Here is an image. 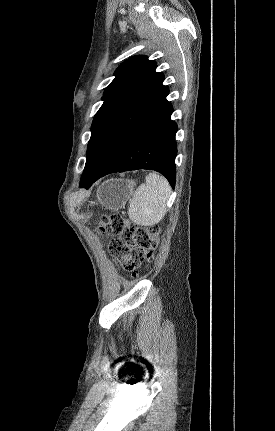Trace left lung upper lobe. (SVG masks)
Wrapping results in <instances>:
<instances>
[{"instance_id": "5c2ea615", "label": "left lung upper lobe", "mask_w": 275, "mask_h": 431, "mask_svg": "<svg viewBox=\"0 0 275 431\" xmlns=\"http://www.w3.org/2000/svg\"><path fill=\"white\" fill-rule=\"evenodd\" d=\"M157 64L138 55L123 62L105 89L104 101L91 125L86 164L81 182L104 171L123 148L168 102L164 75Z\"/></svg>"}]
</instances>
